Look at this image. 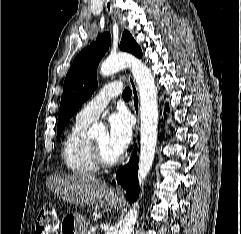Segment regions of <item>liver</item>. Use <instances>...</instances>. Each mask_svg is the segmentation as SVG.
Instances as JSON below:
<instances>
[{
  "instance_id": "liver-1",
  "label": "liver",
  "mask_w": 241,
  "mask_h": 234,
  "mask_svg": "<svg viewBox=\"0 0 241 234\" xmlns=\"http://www.w3.org/2000/svg\"><path fill=\"white\" fill-rule=\"evenodd\" d=\"M48 189L75 205H93L109 191L103 181L88 175H51L46 180Z\"/></svg>"
}]
</instances>
